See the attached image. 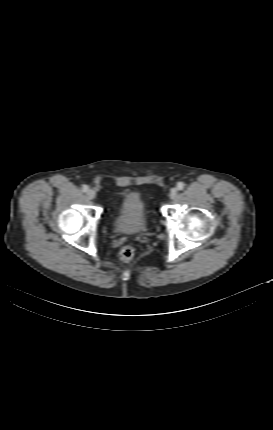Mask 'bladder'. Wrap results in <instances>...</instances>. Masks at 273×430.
I'll return each instance as SVG.
<instances>
[{"instance_id":"bladder-1","label":"bladder","mask_w":273,"mask_h":430,"mask_svg":"<svg viewBox=\"0 0 273 430\" xmlns=\"http://www.w3.org/2000/svg\"><path fill=\"white\" fill-rule=\"evenodd\" d=\"M114 228L125 235H139L146 231V207L138 193L128 192L124 195L114 218Z\"/></svg>"}]
</instances>
